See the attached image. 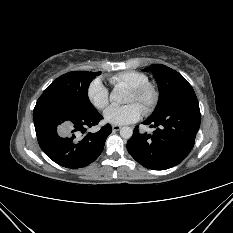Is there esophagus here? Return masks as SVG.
<instances>
[{"mask_svg": "<svg viewBox=\"0 0 233 233\" xmlns=\"http://www.w3.org/2000/svg\"><path fill=\"white\" fill-rule=\"evenodd\" d=\"M121 129L120 125H112V130L115 131H119Z\"/></svg>", "mask_w": 233, "mask_h": 233, "instance_id": "obj_1", "label": "esophagus"}]
</instances>
